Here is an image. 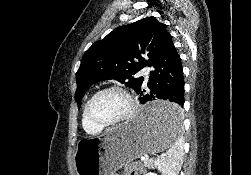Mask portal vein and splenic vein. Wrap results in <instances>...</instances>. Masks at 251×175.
I'll list each match as a JSON object with an SVG mask.
<instances>
[{
  "mask_svg": "<svg viewBox=\"0 0 251 175\" xmlns=\"http://www.w3.org/2000/svg\"><path fill=\"white\" fill-rule=\"evenodd\" d=\"M147 157H148L147 153H142L141 156H140V159L141 160H146ZM157 157H162V154H157Z\"/></svg>",
  "mask_w": 251,
  "mask_h": 175,
  "instance_id": "portal-vein-and-splenic-vein-1",
  "label": "portal vein and splenic vein"
}]
</instances>
